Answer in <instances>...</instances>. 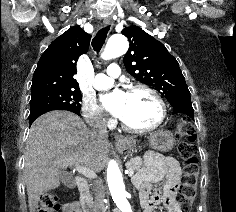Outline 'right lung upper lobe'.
Wrapping results in <instances>:
<instances>
[{"label":"right lung upper lobe","mask_w":236,"mask_h":212,"mask_svg":"<svg viewBox=\"0 0 236 212\" xmlns=\"http://www.w3.org/2000/svg\"><path fill=\"white\" fill-rule=\"evenodd\" d=\"M91 35L79 26L69 28L55 39L42 54L32 79L31 91L79 89L76 62L87 53Z\"/></svg>","instance_id":"obj_1"}]
</instances>
